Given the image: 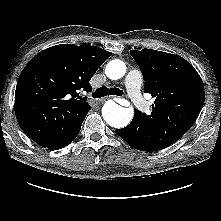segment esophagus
<instances>
[{
    "instance_id": "obj_1",
    "label": "esophagus",
    "mask_w": 221,
    "mask_h": 221,
    "mask_svg": "<svg viewBox=\"0 0 221 221\" xmlns=\"http://www.w3.org/2000/svg\"><path fill=\"white\" fill-rule=\"evenodd\" d=\"M110 98V97H109ZM108 98L107 97H105V98H102V99H100V101L101 102H104L105 100H107Z\"/></svg>"
}]
</instances>
